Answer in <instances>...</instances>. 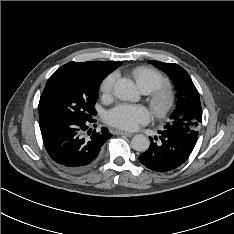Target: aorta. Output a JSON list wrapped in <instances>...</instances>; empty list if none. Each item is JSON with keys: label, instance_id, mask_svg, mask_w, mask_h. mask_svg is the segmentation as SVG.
I'll use <instances>...</instances> for the list:
<instances>
[{"label": "aorta", "instance_id": "762f6f07", "mask_svg": "<svg viewBox=\"0 0 234 234\" xmlns=\"http://www.w3.org/2000/svg\"><path fill=\"white\" fill-rule=\"evenodd\" d=\"M114 94L123 101H136L139 98L134 82L126 78L116 81ZM131 145L134 150L145 152L149 148L150 141L145 135L137 134L132 138Z\"/></svg>", "mask_w": 234, "mask_h": 234}]
</instances>
